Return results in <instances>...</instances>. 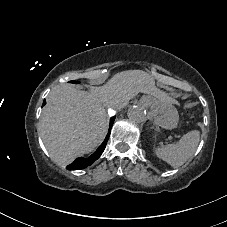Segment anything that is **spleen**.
Here are the masks:
<instances>
[{"instance_id": "obj_1", "label": "spleen", "mask_w": 227, "mask_h": 227, "mask_svg": "<svg viewBox=\"0 0 227 227\" xmlns=\"http://www.w3.org/2000/svg\"><path fill=\"white\" fill-rule=\"evenodd\" d=\"M200 141V132L192 130L173 144L155 149L157 157L166 161L174 168L182 166L195 152Z\"/></svg>"}]
</instances>
